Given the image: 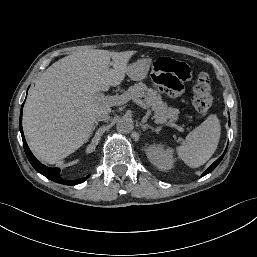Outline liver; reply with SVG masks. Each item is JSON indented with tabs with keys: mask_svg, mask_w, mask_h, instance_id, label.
<instances>
[{
	"mask_svg": "<svg viewBox=\"0 0 257 257\" xmlns=\"http://www.w3.org/2000/svg\"><path fill=\"white\" fill-rule=\"evenodd\" d=\"M136 53L100 49L74 52L40 76L24 106L23 128L30 148L41 161L57 163L88 141L96 116L111 112L97 93L121 84Z\"/></svg>",
	"mask_w": 257,
	"mask_h": 257,
	"instance_id": "obj_1",
	"label": "liver"
}]
</instances>
